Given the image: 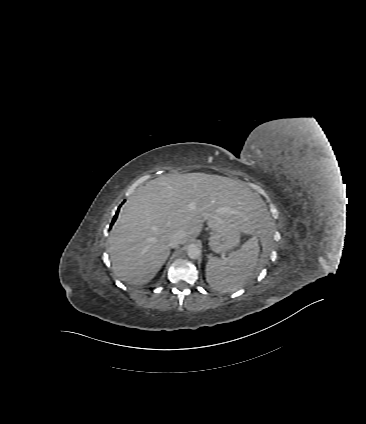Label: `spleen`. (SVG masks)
Listing matches in <instances>:
<instances>
[{
    "mask_svg": "<svg viewBox=\"0 0 366 424\" xmlns=\"http://www.w3.org/2000/svg\"><path fill=\"white\" fill-rule=\"evenodd\" d=\"M258 256V238L253 236L228 257L209 259L206 264V280L217 291L234 292L254 276Z\"/></svg>",
    "mask_w": 366,
    "mask_h": 424,
    "instance_id": "spleen-1",
    "label": "spleen"
}]
</instances>
